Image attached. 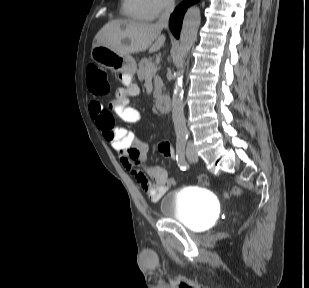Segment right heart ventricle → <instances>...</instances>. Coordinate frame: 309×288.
Here are the masks:
<instances>
[{
  "label": "right heart ventricle",
  "instance_id": "right-heart-ventricle-1",
  "mask_svg": "<svg viewBox=\"0 0 309 288\" xmlns=\"http://www.w3.org/2000/svg\"><path fill=\"white\" fill-rule=\"evenodd\" d=\"M122 13L137 21L151 20L149 9L145 4V0H122Z\"/></svg>",
  "mask_w": 309,
  "mask_h": 288
}]
</instances>
